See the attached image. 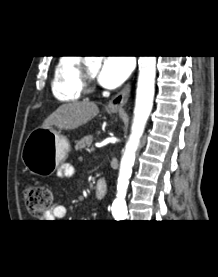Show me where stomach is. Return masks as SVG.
I'll return each mask as SVG.
<instances>
[{
	"label": "stomach",
	"instance_id": "1",
	"mask_svg": "<svg viewBox=\"0 0 218 277\" xmlns=\"http://www.w3.org/2000/svg\"><path fill=\"white\" fill-rule=\"evenodd\" d=\"M113 113L117 110H111ZM70 144L54 127L38 128L26 138L21 159L25 167L37 176H49L65 160Z\"/></svg>",
	"mask_w": 218,
	"mask_h": 277
}]
</instances>
